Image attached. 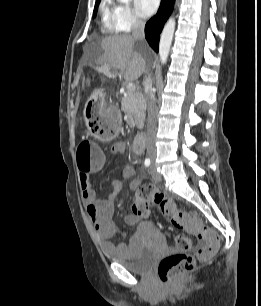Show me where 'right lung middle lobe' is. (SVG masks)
<instances>
[{"instance_id": "dd1d6c3e", "label": "right lung middle lobe", "mask_w": 261, "mask_h": 306, "mask_svg": "<svg viewBox=\"0 0 261 306\" xmlns=\"http://www.w3.org/2000/svg\"><path fill=\"white\" fill-rule=\"evenodd\" d=\"M99 3H100V0H97V1H96V4H95L94 12H93V17H95L96 14H97V10H98V5H99Z\"/></svg>"}]
</instances>
